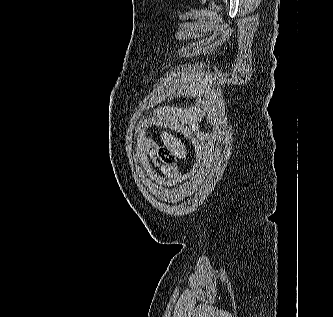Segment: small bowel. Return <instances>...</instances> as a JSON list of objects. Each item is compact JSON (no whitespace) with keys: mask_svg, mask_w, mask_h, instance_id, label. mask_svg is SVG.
<instances>
[{"mask_svg":"<svg viewBox=\"0 0 333 317\" xmlns=\"http://www.w3.org/2000/svg\"><path fill=\"white\" fill-rule=\"evenodd\" d=\"M144 147H146V143L140 142L138 144V148H137V151H136V157L138 159H140L142 157V153L144 151ZM166 183H167V185H171V183H172L171 179L167 178Z\"/></svg>","mask_w":333,"mask_h":317,"instance_id":"small-bowel-1","label":"small bowel"}]
</instances>
